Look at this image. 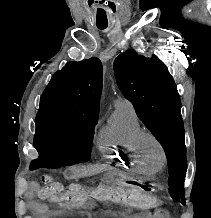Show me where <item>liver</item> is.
I'll use <instances>...</instances> for the list:
<instances>
[{
	"label": "liver",
	"instance_id": "1",
	"mask_svg": "<svg viewBox=\"0 0 211 218\" xmlns=\"http://www.w3.org/2000/svg\"><path fill=\"white\" fill-rule=\"evenodd\" d=\"M78 174H92L93 170L92 168H77Z\"/></svg>",
	"mask_w": 211,
	"mask_h": 218
}]
</instances>
